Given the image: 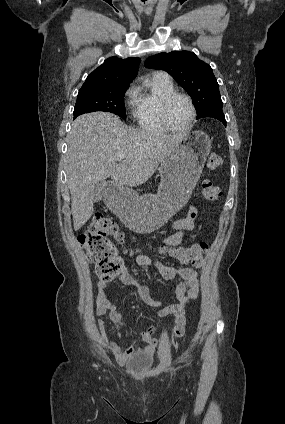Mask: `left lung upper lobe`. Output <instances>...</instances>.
Returning a JSON list of instances; mask_svg holds the SVG:
<instances>
[{
  "instance_id": "1",
  "label": "left lung upper lobe",
  "mask_w": 285,
  "mask_h": 424,
  "mask_svg": "<svg viewBox=\"0 0 285 424\" xmlns=\"http://www.w3.org/2000/svg\"><path fill=\"white\" fill-rule=\"evenodd\" d=\"M148 68L168 72L193 99L197 119L214 108H222L217 80L212 68L193 52L172 51L159 53L145 61Z\"/></svg>"
}]
</instances>
